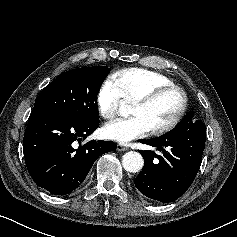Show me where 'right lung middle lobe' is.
Returning <instances> with one entry per match:
<instances>
[{
  "label": "right lung middle lobe",
  "mask_w": 237,
  "mask_h": 237,
  "mask_svg": "<svg viewBox=\"0 0 237 237\" xmlns=\"http://www.w3.org/2000/svg\"><path fill=\"white\" fill-rule=\"evenodd\" d=\"M110 70L107 66H97L62 73L42 90L34 109L47 110L80 122L98 121L97 95Z\"/></svg>",
  "instance_id": "dd1d6c3e"
}]
</instances>
